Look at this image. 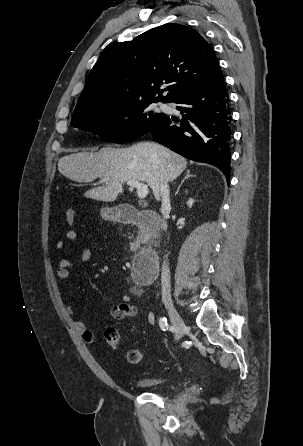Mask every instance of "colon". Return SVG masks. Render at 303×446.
Returning a JSON list of instances; mask_svg holds the SVG:
<instances>
[{
  "mask_svg": "<svg viewBox=\"0 0 303 446\" xmlns=\"http://www.w3.org/2000/svg\"><path fill=\"white\" fill-rule=\"evenodd\" d=\"M66 221L69 225H73L75 221L74 211L68 209L65 213ZM104 339L108 346L116 348L120 342V335L116 328L108 327L104 332ZM127 359L132 364H139L143 359V353L139 349H131L127 353Z\"/></svg>",
  "mask_w": 303,
  "mask_h": 446,
  "instance_id": "colon-1",
  "label": "colon"
}]
</instances>
